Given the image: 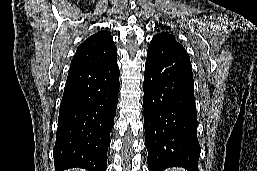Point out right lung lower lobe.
<instances>
[{
	"instance_id": "98d812e1",
	"label": "right lung lower lobe",
	"mask_w": 257,
	"mask_h": 171,
	"mask_svg": "<svg viewBox=\"0 0 257 171\" xmlns=\"http://www.w3.org/2000/svg\"><path fill=\"white\" fill-rule=\"evenodd\" d=\"M119 75L117 59L103 66L69 71L53 151L55 171L75 167L106 171Z\"/></svg>"
}]
</instances>
